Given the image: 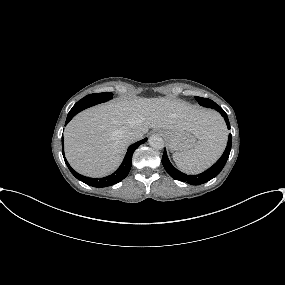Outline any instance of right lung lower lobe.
Here are the masks:
<instances>
[{
    "label": "right lung lower lobe",
    "mask_w": 285,
    "mask_h": 285,
    "mask_svg": "<svg viewBox=\"0 0 285 285\" xmlns=\"http://www.w3.org/2000/svg\"><path fill=\"white\" fill-rule=\"evenodd\" d=\"M75 115L73 114H68L67 119H66V123L65 125L74 117ZM147 141V138L138 141L134 144H132L129 148L128 151L125 155V158L122 162V164L120 165V167L111 175L104 177V178H100V179H96V178H90V177H86L83 176L79 173H77L76 171H74L69 163L67 162L65 156H64V150L62 148V153H63V157L65 160L66 165L68 166L69 170L71 171V173L80 181L86 183L87 185H90L92 187H107V186H111L114 185L120 181H122L124 178H126V176L128 175L130 168L132 166V155L134 153V151L139 147V145L145 143ZM62 147H63V137H62Z\"/></svg>",
    "instance_id": "98d812e1"
}]
</instances>
